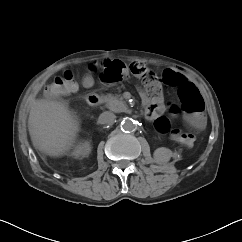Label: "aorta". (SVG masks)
<instances>
[{
  "label": "aorta",
  "mask_w": 242,
  "mask_h": 242,
  "mask_svg": "<svg viewBox=\"0 0 242 242\" xmlns=\"http://www.w3.org/2000/svg\"><path fill=\"white\" fill-rule=\"evenodd\" d=\"M137 128L136 122L133 119L125 118L121 122V129L126 132L135 131Z\"/></svg>",
  "instance_id": "obj_1"
}]
</instances>
